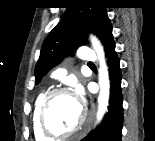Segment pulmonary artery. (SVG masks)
Listing matches in <instances>:
<instances>
[{
  "instance_id": "pulmonary-artery-1",
  "label": "pulmonary artery",
  "mask_w": 155,
  "mask_h": 141,
  "mask_svg": "<svg viewBox=\"0 0 155 141\" xmlns=\"http://www.w3.org/2000/svg\"><path fill=\"white\" fill-rule=\"evenodd\" d=\"M79 57L83 62H86L89 64L95 62V56L93 55L92 51L88 47L80 48Z\"/></svg>"
}]
</instances>
